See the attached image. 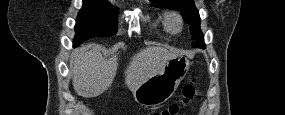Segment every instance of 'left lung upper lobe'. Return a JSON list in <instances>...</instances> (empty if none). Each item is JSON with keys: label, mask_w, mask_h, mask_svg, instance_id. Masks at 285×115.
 Instances as JSON below:
<instances>
[{"label": "left lung upper lobe", "mask_w": 285, "mask_h": 115, "mask_svg": "<svg viewBox=\"0 0 285 115\" xmlns=\"http://www.w3.org/2000/svg\"><path fill=\"white\" fill-rule=\"evenodd\" d=\"M158 8L174 9L180 11L185 23L191 25L192 39L195 40L193 47H205L204 35L200 29V16L193 0H151Z\"/></svg>", "instance_id": "left-lung-upper-lobe-1"}]
</instances>
